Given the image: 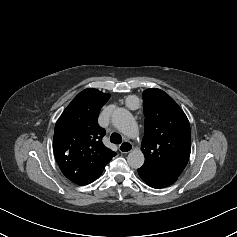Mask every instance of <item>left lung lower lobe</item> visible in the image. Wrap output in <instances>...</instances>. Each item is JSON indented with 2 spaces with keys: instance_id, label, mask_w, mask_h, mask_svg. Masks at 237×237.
Wrapping results in <instances>:
<instances>
[{
  "instance_id": "1",
  "label": "left lung lower lobe",
  "mask_w": 237,
  "mask_h": 237,
  "mask_svg": "<svg viewBox=\"0 0 237 237\" xmlns=\"http://www.w3.org/2000/svg\"><path fill=\"white\" fill-rule=\"evenodd\" d=\"M138 174L146 184L153 188L167 187L177 180V177L163 174L146 166L139 168Z\"/></svg>"
}]
</instances>
